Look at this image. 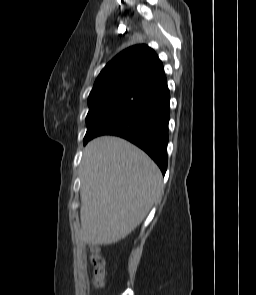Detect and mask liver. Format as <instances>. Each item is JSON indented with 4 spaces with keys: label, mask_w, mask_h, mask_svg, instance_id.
<instances>
[{
    "label": "liver",
    "mask_w": 256,
    "mask_h": 295,
    "mask_svg": "<svg viewBox=\"0 0 256 295\" xmlns=\"http://www.w3.org/2000/svg\"><path fill=\"white\" fill-rule=\"evenodd\" d=\"M85 244L111 245L130 234L162 193V174L142 150L114 136L90 141L80 165Z\"/></svg>",
    "instance_id": "liver-1"
}]
</instances>
